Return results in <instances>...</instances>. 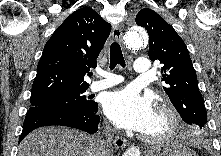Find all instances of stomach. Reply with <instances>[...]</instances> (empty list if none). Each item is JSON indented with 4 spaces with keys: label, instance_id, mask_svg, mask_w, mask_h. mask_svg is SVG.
<instances>
[{
    "label": "stomach",
    "instance_id": "stomach-1",
    "mask_svg": "<svg viewBox=\"0 0 221 156\" xmlns=\"http://www.w3.org/2000/svg\"><path fill=\"white\" fill-rule=\"evenodd\" d=\"M148 156H196V154L177 141H167L151 149Z\"/></svg>",
    "mask_w": 221,
    "mask_h": 156
}]
</instances>
